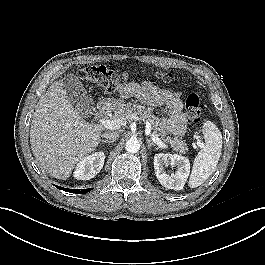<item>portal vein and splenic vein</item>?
Masks as SVG:
<instances>
[{
	"instance_id": "obj_1",
	"label": "portal vein and splenic vein",
	"mask_w": 265,
	"mask_h": 265,
	"mask_svg": "<svg viewBox=\"0 0 265 265\" xmlns=\"http://www.w3.org/2000/svg\"><path fill=\"white\" fill-rule=\"evenodd\" d=\"M127 119L139 120L140 118L138 116L132 114ZM123 120H125V119H114V120H112V119H105L104 118V119H100V123L102 124V126H104L107 129L116 130V129H119L121 127ZM150 131H151V125H150V123H147L146 132L150 133ZM151 139L159 147L164 148V149L168 148V146L164 142H162L161 139L159 137H157L156 135L151 134ZM197 145L201 147L200 141L197 142Z\"/></svg>"
}]
</instances>
